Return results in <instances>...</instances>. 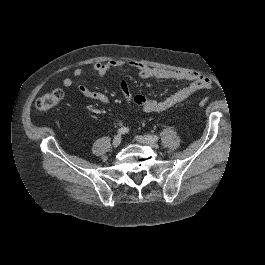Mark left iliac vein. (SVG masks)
Wrapping results in <instances>:
<instances>
[{
  "instance_id": "1",
  "label": "left iliac vein",
  "mask_w": 265,
  "mask_h": 265,
  "mask_svg": "<svg viewBox=\"0 0 265 265\" xmlns=\"http://www.w3.org/2000/svg\"><path fill=\"white\" fill-rule=\"evenodd\" d=\"M135 139L142 144H146V145H149V146L154 147V148L157 147V144H156L157 141L152 140L148 136H138L137 135V136H135Z\"/></svg>"
}]
</instances>
